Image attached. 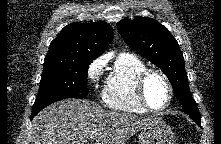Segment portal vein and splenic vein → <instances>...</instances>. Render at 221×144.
Instances as JSON below:
<instances>
[{
    "mask_svg": "<svg viewBox=\"0 0 221 144\" xmlns=\"http://www.w3.org/2000/svg\"><path fill=\"white\" fill-rule=\"evenodd\" d=\"M94 139V137H91V140H93Z\"/></svg>",
    "mask_w": 221,
    "mask_h": 144,
    "instance_id": "18ae733b",
    "label": "portal vein and splenic vein"
}]
</instances>
